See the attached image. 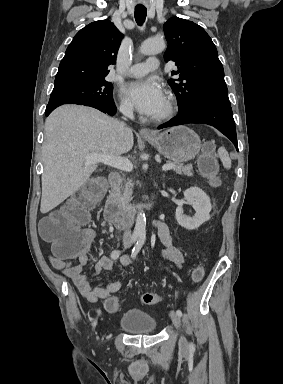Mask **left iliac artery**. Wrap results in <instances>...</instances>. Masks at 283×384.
<instances>
[{
	"instance_id": "obj_1",
	"label": "left iliac artery",
	"mask_w": 283,
	"mask_h": 384,
	"mask_svg": "<svg viewBox=\"0 0 283 384\" xmlns=\"http://www.w3.org/2000/svg\"><path fill=\"white\" fill-rule=\"evenodd\" d=\"M144 241H145V237H143V236H142V237H139V239H138L136 245H135L134 248L132 249L131 257H132L133 259L136 258L137 254H138L139 251L141 250V248H142V246H143V244H144ZM176 314H177L179 317H181V316H182V311L178 309V310L176 311ZM189 347H190L191 350H193V349H194V344H193V343H190Z\"/></svg>"
}]
</instances>
